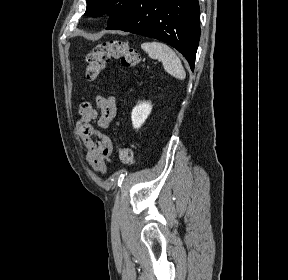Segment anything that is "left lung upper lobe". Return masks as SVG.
Masks as SVG:
<instances>
[{
    "label": "left lung upper lobe",
    "mask_w": 288,
    "mask_h": 280,
    "mask_svg": "<svg viewBox=\"0 0 288 280\" xmlns=\"http://www.w3.org/2000/svg\"><path fill=\"white\" fill-rule=\"evenodd\" d=\"M87 8L85 14L99 16L107 14L109 20L107 25L114 24L129 9L135 0H86Z\"/></svg>",
    "instance_id": "1"
}]
</instances>
